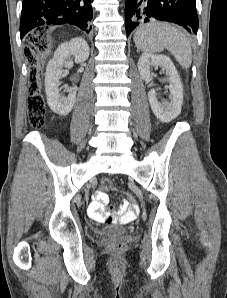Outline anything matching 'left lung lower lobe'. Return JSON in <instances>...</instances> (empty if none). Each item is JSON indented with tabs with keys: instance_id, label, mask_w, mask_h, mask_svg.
<instances>
[{
	"instance_id": "1",
	"label": "left lung lower lobe",
	"mask_w": 227,
	"mask_h": 298,
	"mask_svg": "<svg viewBox=\"0 0 227 298\" xmlns=\"http://www.w3.org/2000/svg\"><path fill=\"white\" fill-rule=\"evenodd\" d=\"M154 20L174 22L196 34L198 16L195 0H126L127 35L139 24Z\"/></svg>"
}]
</instances>
